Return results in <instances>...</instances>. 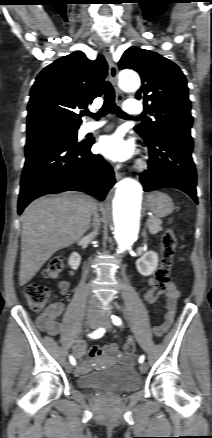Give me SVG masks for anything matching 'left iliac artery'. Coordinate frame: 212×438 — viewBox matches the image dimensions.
<instances>
[{
	"instance_id": "left-iliac-artery-1",
	"label": "left iliac artery",
	"mask_w": 212,
	"mask_h": 438,
	"mask_svg": "<svg viewBox=\"0 0 212 438\" xmlns=\"http://www.w3.org/2000/svg\"><path fill=\"white\" fill-rule=\"evenodd\" d=\"M111 318H112V322H113L114 325L119 326V325L122 324V321H121V319L119 317L113 315V316H111ZM144 360H145V356L141 355L139 357V362L142 363V362H144Z\"/></svg>"
}]
</instances>
